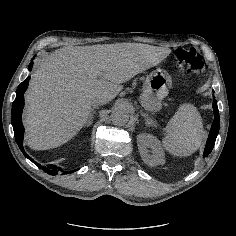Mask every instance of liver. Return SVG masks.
<instances>
[{"label": "liver", "instance_id": "liver-1", "mask_svg": "<svg viewBox=\"0 0 236 236\" xmlns=\"http://www.w3.org/2000/svg\"><path fill=\"white\" fill-rule=\"evenodd\" d=\"M170 53L169 48L140 43L55 50L39 63L25 94L26 144L33 150H48L66 143L87 123L92 106L101 99L104 104L114 99L122 83L146 69L143 64L151 55Z\"/></svg>", "mask_w": 236, "mask_h": 236}]
</instances>
